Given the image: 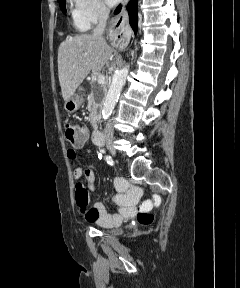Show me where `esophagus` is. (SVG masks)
Masks as SVG:
<instances>
[{"label":"esophagus","instance_id":"1","mask_svg":"<svg viewBox=\"0 0 240 288\" xmlns=\"http://www.w3.org/2000/svg\"><path fill=\"white\" fill-rule=\"evenodd\" d=\"M129 0H123V9L120 14H118L110 23L109 26V37L114 42L119 44L121 39H119V35L124 31V26L127 21V12L125 10V5Z\"/></svg>","mask_w":240,"mask_h":288}]
</instances>
